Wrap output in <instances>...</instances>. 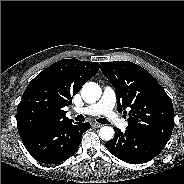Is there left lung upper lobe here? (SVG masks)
Wrapping results in <instances>:
<instances>
[{
    "label": "left lung upper lobe",
    "mask_w": 184,
    "mask_h": 184,
    "mask_svg": "<svg viewBox=\"0 0 184 184\" xmlns=\"http://www.w3.org/2000/svg\"><path fill=\"white\" fill-rule=\"evenodd\" d=\"M100 69L116 90L118 112L126 118L128 111V127L166 145L174 128V109L163 87L129 61L103 62Z\"/></svg>",
    "instance_id": "1"
}]
</instances>
